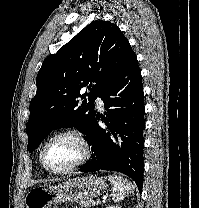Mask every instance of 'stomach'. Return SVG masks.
I'll use <instances>...</instances> for the list:
<instances>
[{"label":"stomach","mask_w":199,"mask_h":208,"mask_svg":"<svg viewBox=\"0 0 199 208\" xmlns=\"http://www.w3.org/2000/svg\"><path fill=\"white\" fill-rule=\"evenodd\" d=\"M106 189L105 180L96 175L72 178L58 185L34 187L26 194L25 205L26 208H50L56 203L92 199Z\"/></svg>","instance_id":"stomach-1"}]
</instances>
